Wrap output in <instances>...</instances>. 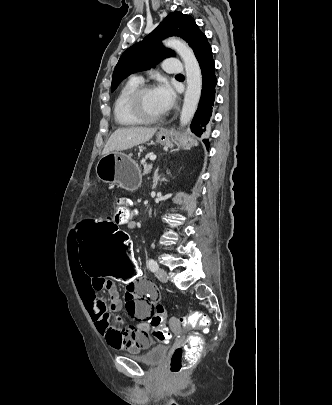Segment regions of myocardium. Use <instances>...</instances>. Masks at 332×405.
Segmentation results:
<instances>
[{"instance_id":"obj_1","label":"myocardium","mask_w":332,"mask_h":405,"mask_svg":"<svg viewBox=\"0 0 332 405\" xmlns=\"http://www.w3.org/2000/svg\"><path fill=\"white\" fill-rule=\"evenodd\" d=\"M152 85H142L138 87L131 95L129 99V111L138 121L141 123H155L162 120L165 114L161 116H148L143 108V96L150 90H153Z\"/></svg>"}]
</instances>
